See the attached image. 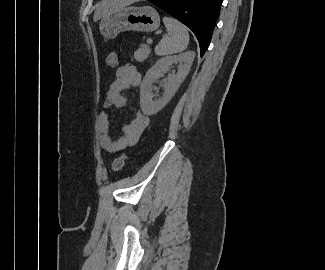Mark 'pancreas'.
Here are the masks:
<instances>
[{
  "label": "pancreas",
  "instance_id": "obj_1",
  "mask_svg": "<svg viewBox=\"0 0 325 270\" xmlns=\"http://www.w3.org/2000/svg\"><path fill=\"white\" fill-rule=\"evenodd\" d=\"M150 53L151 49L149 48V46L146 44H142L140 48L135 52L134 58L136 59V61L142 62L149 56Z\"/></svg>",
  "mask_w": 325,
  "mask_h": 270
}]
</instances>
